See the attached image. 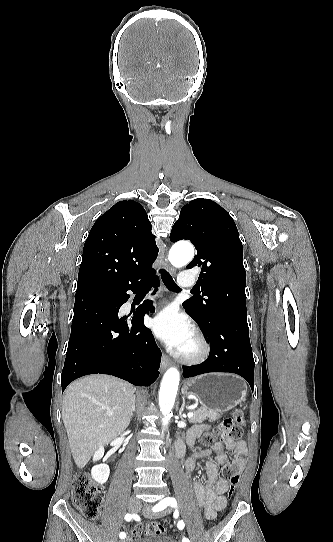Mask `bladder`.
Returning a JSON list of instances; mask_svg holds the SVG:
<instances>
[{
    "mask_svg": "<svg viewBox=\"0 0 333 542\" xmlns=\"http://www.w3.org/2000/svg\"><path fill=\"white\" fill-rule=\"evenodd\" d=\"M137 542H175L171 537L162 534H148L142 536Z\"/></svg>",
    "mask_w": 333,
    "mask_h": 542,
    "instance_id": "31cf9c89",
    "label": "bladder"
}]
</instances>
